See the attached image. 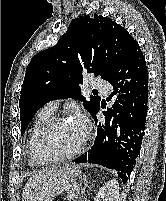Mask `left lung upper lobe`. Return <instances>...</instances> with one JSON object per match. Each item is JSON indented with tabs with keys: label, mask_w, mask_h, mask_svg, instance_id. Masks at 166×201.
<instances>
[{
	"label": "left lung upper lobe",
	"mask_w": 166,
	"mask_h": 201,
	"mask_svg": "<svg viewBox=\"0 0 166 201\" xmlns=\"http://www.w3.org/2000/svg\"><path fill=\"white\" fill-rule=\"evenodd\" d=\"M137 42L110 18L85 15L74 19L58 43L31 59L26 68L19 107L21 133L36 111L51 100L72 97L83 101L93 116L101 99L80 96L83 75L94 73L109 80Z\"/></svg>",
	"instance_id": "obj_1"
}]
</instances>
